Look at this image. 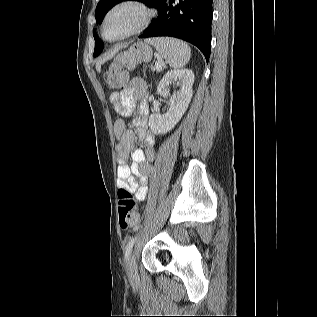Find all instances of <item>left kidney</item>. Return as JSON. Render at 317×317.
I'll list each match as a JSON object with an SVG mask.
<instances>
[{
	"label": "left kidney",
	"mask_w": 317,
	"mask_h": 317,
	"mask_svg": "<svg viewBox=\"0 0 317 317\" xmlns=\"http://www.w3.org/2000/svg\"><path fill=\"white\" fill-rule=\"evenodd\" d=\"M194 83V73L190 69H177L167 72L160 81L157 92L163 98L169 95V86L175 84V91L169 100L170 108L161 115L153 113L149 117V127L154 134H166L172 130L186 112L191 101Z\"/></svg>",
	"instance_id": "left-kidney-1"
}]
</instances>
